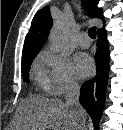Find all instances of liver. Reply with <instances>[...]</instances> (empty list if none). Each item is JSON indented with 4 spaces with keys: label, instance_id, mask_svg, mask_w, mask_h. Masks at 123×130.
Wrapping results in <instances>:
<instances>
[{
    "label": "liver",
    "instance_id": "obj_1",
    "mask_svg": "<svg viewBox=\"0 0 123 130\" xmlns=\"http://www.w3.org/2000/svg\"><path fill=\"white\" fill-rule=\"evenodd\" d=\"M86 116L81 108L76 117L61 99L31 95L20 101L9 130H83Z\"/></svg>",
    "mask_w": 123,
    "mask_h": 130
}]
</instances>
